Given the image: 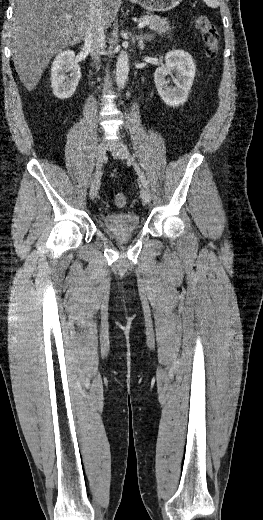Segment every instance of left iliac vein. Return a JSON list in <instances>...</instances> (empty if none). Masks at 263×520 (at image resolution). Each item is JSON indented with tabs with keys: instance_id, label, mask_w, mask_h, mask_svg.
Instances as JSON below:
<instances>
[{
	"instance_id": "left-iliac-vein-1",
	"label": "left iliac vein",
	"mask_w": 263,
	"mask_h": 520,
	"mask_svg": "<svg viewBox=\"0 0 263 520\" xmlns=\"http://www.w3.org/2000/svg\"><path fill=\"white\" fill-rule=\"evenodd\" d=\"M113 154L122 160H127L128 156H129V152H128L126 146L123 144L116 145V147L113 150ZM140 196H141L142 201L145 204H149L151 202V194H150V191L148 188H146V187L141 188Z\"/></svg>"
}]
</instances>
